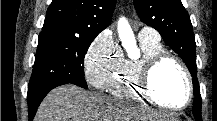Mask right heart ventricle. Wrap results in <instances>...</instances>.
I'll return each instance as SVG.
<instances>
[{"label":"right heart ventricle","instance_id":"e07e8e85","mask_svg":"<svg viewBox=\"0 0 217 121\" xmlns=\"http://www.w3.org/2000/svg\"><path fill=\"white\" fill-rule=\"evenodd\" d=\"M143 52L140 60L124 59L115 76L107 85L109 94L124 100H136L142 97L138 84L140 64L149 58L165 52L160 42L139 40Z\"/></svg>","mask_w":217,"mask_h":121}]
</instances>
